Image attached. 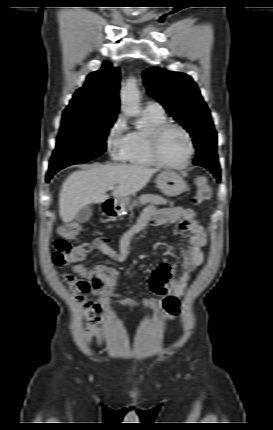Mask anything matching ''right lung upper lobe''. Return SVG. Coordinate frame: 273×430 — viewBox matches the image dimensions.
<instances>
[{
  "label": "right lung upper lobe",
  "instance_id": "obj_1",
  "mask_svg": "<svg viewBox=\"0 0 273 430\" xmlns=\"http://www.w3.org/2000/svg\"><path fill=\"white\" fill-rule=\"evenodd\" d=\"M119 86V69L104 62L100 70L88 75L84 86L75 92L65 112L93 117H116L120 104Z\"/></svg>",
  "mask_w": 273,
  "mask_h": 430
}]
</instances>
